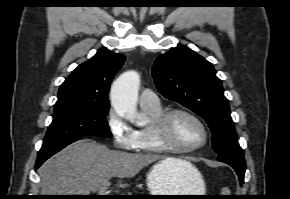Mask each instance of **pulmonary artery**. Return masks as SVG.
Segmentation results:
<instances>
[{
  "instance_id": "1",
  "label": "pulmonary artery",
  "mask_w": 290,
  "mask_h": 199,
  "mask_svg": "<svg viewBox=\"0 0 290 199\" xmlns=\"http://www.w3.org/2000/svg\"><path fill=\"white\" fill-rule=\"evenodd\" d=\"M139 104L143 108H159L160 99L154 91L151 89L145 88L141 91L139 96Z\"/></svg>"
}]
</instances>
